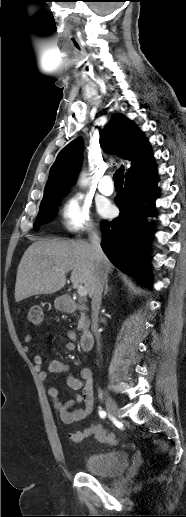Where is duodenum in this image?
Masks as SVG:
<instances>
[{
    "instance_id": "1",
    "label": "duodenum",
    "mask_w": 186,
    "mask_h": 517,
    "mask_svg": "<svg viewBox=\"0 0 186 517\" xmlns=\"http://www.w3.org/2000/svg\"><path fill=\"white\" fill-rule=\"evenodd\" d=\"M63 303V309L67 313H76L77 311H86L87 308L75 302L70 296H63L61 299ZM94 336L90 329H83L80 335V346L81 349L85 352H88L93 345Z\"/></svg>"
}]
</instances>
